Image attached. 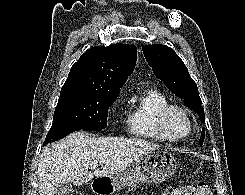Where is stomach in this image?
Returning a JSON list of instances; mask_svg holds the SVG:
<instances>
[{
    "mask_svg": "<svg viewBox=\"0 0 245 195\" xmlns=\"http://www.w3.org/2000/svg\"><path fill=\"white\" fill-rule=\"evenodd\" d=\"M177 166L172 152L166 149L148 151L124 171L109 177L108 183L113 191L139 183H159L169 179L175 173Z\"/></svg>",
    "mask_w": 245,
    "mask_h": 195,
    "instance_id": "0dacf381",
    "label": "stomach"
}]
</instances>
